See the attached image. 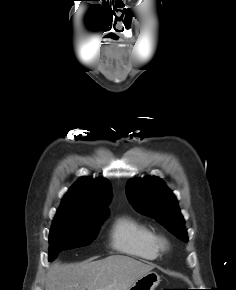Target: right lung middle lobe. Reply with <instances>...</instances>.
Masks as SVG:
<instances>
[{
  "mask_svg": "<svg viewBox=\"0 0 236 290\" xmlns=\"http://www.w3.org/2000/svg\"><path fill=\"white\" fill-rule=\"evenodd\" d=\"M106 215L85 218L55 216L49 235V261L62 250L89 245Z\"/></svg>",
  "mask_w": 236,
  "mask_h": 290,
  "instance_id": "dd1d6c3e",
  "label": "right lung middle lobe"
}]
</instances>
